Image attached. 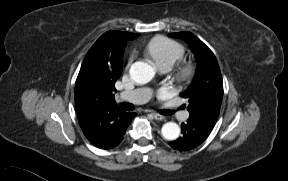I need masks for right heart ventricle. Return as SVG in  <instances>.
<instances>
[{
  "label": "right heart ventricle",
  "mask_w": 288,
  "mask_h": 181,
  "mask_svg": "<svg viewBox=\"0 0 288 181\" xmlns=\"http://www.w3.org/2000/svg\"><path fill=\"white\" fill-rule=\"evenodd\" d=\"M145 52L152 58L157 67L162 65L172 67L183 58L185 48L174 40L164 36H157L149 41Z\"/></svg>",
  "instance_id": "1"
}]
</instances>
